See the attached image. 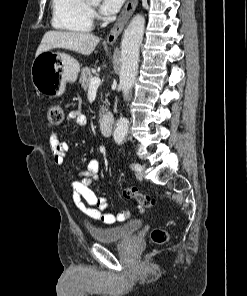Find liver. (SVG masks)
Masks as SVG:
<instances>
[{
    "instance_id": "6515ba94",
    "label": "liver",
    "mask_w": 247,
    "mask_h": 296,
    "mask_svg": "<svg viewBox=\"0 0 247 296\" xmlns=\"http://www.w3.org/2000/svg\"><path fill=\"white\" fill-rule=\"evenodd\" d=\"M99 37L82 32L48 31L36 51V56L51 49H68L82 55H90L97 44Z\"/></svg>"
}]
</instances>
